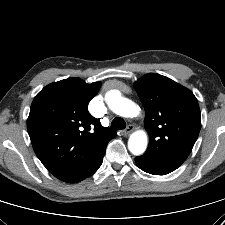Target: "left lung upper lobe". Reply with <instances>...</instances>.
I'll return each mask as SVG.
<instances>
[{
  "label": "left lung upper lobe",
  "instance_id": "5c2ea615",
  "mask_svg": "<svg viewBox=\"0 0 225 225\" xmlns=\"http://www.w3.org/2000/svg\"><path fill=\"white\" fill-rule=\"evenodd\" d=\"M134 87L144 106L145 128L150 135L145 153L181 166L201 128L196 97L175 81L153 73L138 80Z\"/></svg>",
  "mask_w": 225,
  "mask_h": 225
}]
</instances>
